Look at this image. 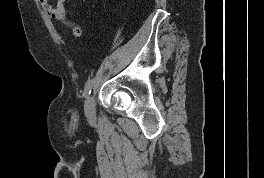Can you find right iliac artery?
Here are the masks:
<instances>
[{
  "mask_svg": "<svg viewBox=\"0 0 264 178\" xmlns=\"http://www.w3.org/2000/svg\"><path fill=\"white\" fill-rule=\"evenodd\" d=\"M92 85H93V80L89 79L85 85V89H84V95L87 98L90 93H91V89H92Z\"/></svg>",
  "mask_w": 264,
  "mask_h": 178,
  "instance_id": "right-iliac-artery-1",
  "label": "right iliac artery"
}]
</instances>
